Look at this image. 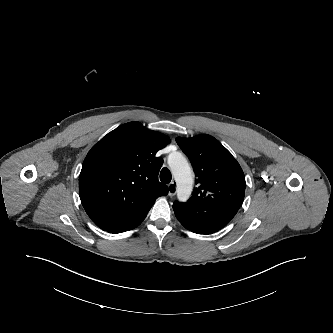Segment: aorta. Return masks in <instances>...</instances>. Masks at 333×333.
I'll list each match as a JSON object with an SVG mask.
<instances>
[{
	"label": "aorta",
	"mask_w": 333,
	"mask_h": 333,
	"mask_svg": "<svg viewBox=\"0 0 333 333\" xmlns=\"http://www.w3.org/2000/svg\"><path fill=\"white\" fill-rule=\"evenodd\" d=\"M168 162L171 173L177 184V198L180 202H185L189 199L192 192V169L181 153L171 155Z\"/></svg>",
	"instance_id": "762f6f07"
}]
</instances>
